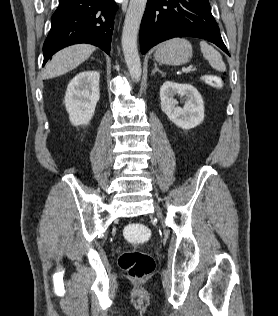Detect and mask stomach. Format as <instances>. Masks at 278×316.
<instances>
[{"mask_svg":"<svg viewBox=\"0 0 278 316\" xmlns=\"http://www.w3.org/2000/svg\"><path fill=\"white\" fill-rule=\"evenodd\" d=\"M192 57V46L185 39H172L161 44L154 54L157 62L166 65H181Z\"/></svg>","mask_w":278,"mask_h":316,"instance_id":"obj_1","label":"stomach"}]
</instances>
